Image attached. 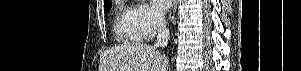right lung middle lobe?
<instances>
[{"label":"right lung middle lobe","instance_id":"right-lung-middle-lobe-1","mask_svg":"<svg viewBox=\"0 0 301 71\" xmlns=\"http://www.w3.org/2000/svg\"><path fill=\"white\" fill-rule=\"evenodd\" d=\"M111 6H112L111 2L108 3V4H106V5H104V11L108 12L110 10Z\"/></svg>","mask_w":301,"mask_h":71}]
</instances>
